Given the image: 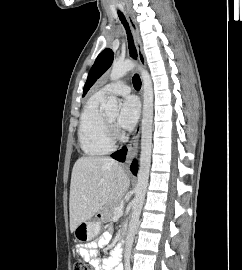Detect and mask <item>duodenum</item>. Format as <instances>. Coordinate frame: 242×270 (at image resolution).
<instances>
[{
  "label": "duodenum",
  "instance_id": "obj_1",
  "mask_svg": "<svg viewBox=\"0 0 242 270\" xmlns=\"http://www.w3.org/2000/svg\"><path fill=\"white\" fill-rule=\"evenodd\" d=\"M126 236H127V229H123L121 236H120V239L122 242H125Z\"/></svg>",
  "mask_w": 242,
  "mask_h": 270
}]
</instances>
